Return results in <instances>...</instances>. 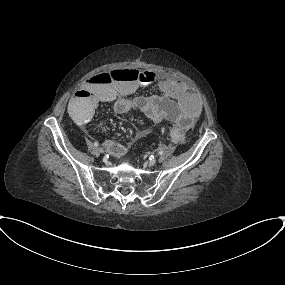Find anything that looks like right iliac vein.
Returning a JSON list of instances; mask_svg holds the SVG:
<instances>
[{"mask_svg": "<svg viewBox=\"0 0 285 285\" xmlns=\"http://www.w3.org/2000/svg\"><path fill=\"white\" fill-rule=\"evenodd\" d=\"M97 151H98L100 154L104 153V149H103L102 147H98V148H97Z\"/></svg>", "mask_w": 285, "mask_h": 285, "instance_id": "obj_1", "label": "right iliac vein"}]
</instances>
